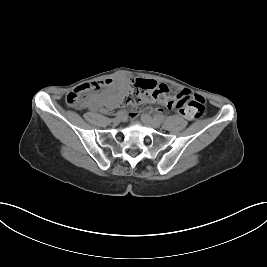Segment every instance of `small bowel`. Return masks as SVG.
<instances>
[{
	"label": "small bowel",
	"instance_id": "c3829d8e",
	"mask_svg": "<svg viewBox=\"0 0 267 267\" xmlns=\"http://www.w3.org/2000/svg\"><path fill=\"white\" fill-rule=\"evenodd\" d=\"M100 85H107V82H100L92 85H86V88H96L99 87ZM118 93L111 94L109 96H94L91 97L86 105L90 109H96V110H109L112 106L117 105V102L115 101L116 98L118 97ZM182 102V97H181V92L177 93L172 97V102L171 104L168 105L170 109H175L177 110V106L180 105ZM189 119V118H188Z\"/></svg>",
	"mask_w": 267,
	"mask_h": 267
}]
</instances>
